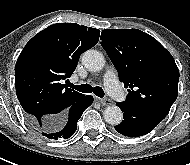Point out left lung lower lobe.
<instances>
[{
  "label": "left lung lower lobe",
  "mask_w": 190,
  "mask_h": 165,
  "mask_svg": "<svg viewBox=\"0 0 190 165\" xmlns=\"http://www.w3.org/2000/svg\"><path fill=\"white\" fill-rule=\"evenodd\" d=\"M117 106L124 113V120L114 128L118 133L128 137L148 134L167 115L161 112L133 108L122 102H117Z\"/></svg>",
  "instance_id": "1"
}]
</instances>
